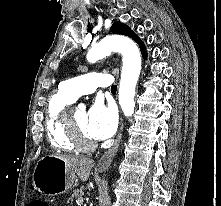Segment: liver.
<instances>
[{"instance_id": "1", "label": "liver", "mask_w": 221, "mask_h": 206, "mask_svg": "<svg viewBox=\"0 0 221 206\" xmlns=\"http://www.w3.org/2000/svg\"><path fill=\"white\" fill-rule=\"evenodd\" d=\"M52 156L63 159L75 176H78L82 181H86L89 178L91 169L94 167V161L85 157L71 155Z\"/></svg>"}]
</instances>
